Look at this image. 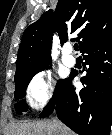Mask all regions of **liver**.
Wrapping results in <instances>:
<instances>
[{
    "label": "liver",
    "mask_w": 112,
    "mask_h": 135,
    "mask_svg": "<svg viewBox=\"0 0 112 135\" xmlns=\"http://www.w3.org/2000/svg\"><path fill=\"white\" fill-rule=\"evenodd\" d=\"M10 135H74L65 125L59 122L55 126L53 120L15 124L10 127Z\"/></svg>",
    "instance_id": "6515ba94"
}]
</instances>
